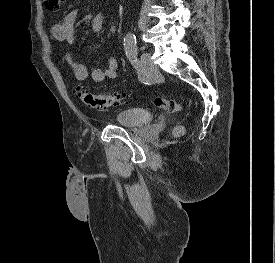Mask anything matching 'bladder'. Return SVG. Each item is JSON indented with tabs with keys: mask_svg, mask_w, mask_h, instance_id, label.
<instances>
[{
	"mask_svg": "<svg viewBox=\"0 0 275 263\" xmlns=\"http://www.w3.org/2000/svg\"><path fill=\"white\" fill-rule=\"evenodd\" d=\"M153 117L152 112L141 108L125 109L116 114L118 123L126 128H137L149 124Z\"/></svg>",
	"mask_w": 275,
	"mask_h": 263,
	"instance_id": "obj_1",
	"label": "bladder"
}]
</instances>
